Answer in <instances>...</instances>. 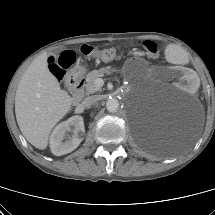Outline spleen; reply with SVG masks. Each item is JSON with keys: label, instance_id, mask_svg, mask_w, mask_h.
<instances>
[{"label": "spleen", "instance_id": "3e777b00", "mask_svg": "<svg viewBox=\"0 0 215 215\" xmlns=\"http://www.w3.org/2000/svg\"><path fill=\"white\" fill-rule=\"evenodd\" d=\"M166 58L171 63H182L184 65L189 64L191 61L190 56L186 54L184 48L182 47L176 48L173 45H169L167 47Z\"/></svg>", "mask_w": 215, "mask_h": 215}]
</instances>
